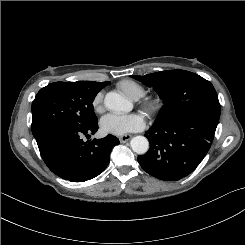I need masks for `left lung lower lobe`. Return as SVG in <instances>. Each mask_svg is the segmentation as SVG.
I'll return each instance as SVG.
<instances>
[{
	"label": "left lung lower lobe",
	"instance_id": "left-lung-lower-lobe-1",
	"mask_svg": "<svg viewBox=\"0 0 245 245\" xmlns=\"http://www.w3.org/2000/svg\"><path fill=\"white\" fill-rule=\"evenodd\" d=\"M219 117L209 113L188 115L163 126H152L145 136L150 149L138 156L141 167L165 181L189 175L207 154Z\"/></svg>",
	"mask_w": 245,
	"mask_h": 245
}]
</instances>
